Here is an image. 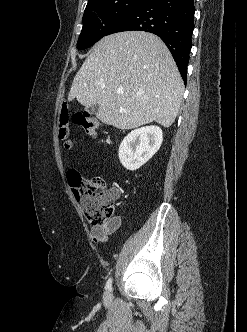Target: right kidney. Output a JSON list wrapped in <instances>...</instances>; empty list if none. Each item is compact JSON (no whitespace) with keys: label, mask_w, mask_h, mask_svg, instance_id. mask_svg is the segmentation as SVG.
Returning a JSON list of instances; mask_svg holds the SVG:
<instances>
[{"label":"right kidney","mask_w":247,"mask_h":332,"mask_svg":"<svg viewBox=\"0 0 247 332\" xmlns=\"http://www.w3.org/2000/svg\"><path fill=\"white\" fill-rule=\"evenodd\" d=\"M163 132L158 126H145L131 131L119 146V160L130 171L139 169L159 150Z\"/></svg>","instance_id":"ca27d5eb"}]
</instances>
